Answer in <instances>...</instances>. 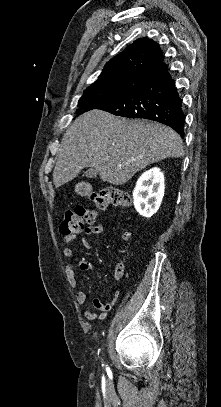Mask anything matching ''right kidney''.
Segmentation results:
<instances>
[{
  "label": "right kidney",
  "instance_id": "obj_1",
  "mask_svg": "<svg viewBox=\"0 0 221 407\" xmlns=\"http://www.w3.org/2000/svg\"><path fill=\"white\" fill-rule=\"evenodd\" d=\"M164 175L159 168L145 171L138 179L133 191L134 207L143 217L155 214L164 196Z\"/></svg>",
  "mask_w": 221,
  "mask_h": 407
}]
</instances>
